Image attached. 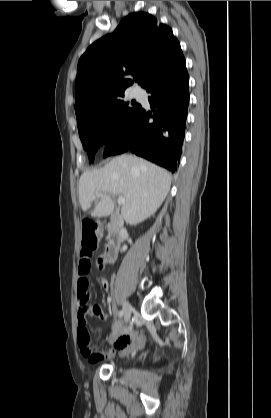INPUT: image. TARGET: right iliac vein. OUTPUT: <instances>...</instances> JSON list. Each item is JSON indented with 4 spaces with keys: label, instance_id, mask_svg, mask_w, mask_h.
<instances>
[{
    "label": "right iliac vein",
    "instance_id": "1",
    "mask_svg": "<svg viewBox=\"0 0 271 418\" xmlns=\"http://www.w3.org/2000/svg\"><path fill=\"white\" fill-rule=\"evenodd\" d=\"M132 310H133L132 306L128 302H124V305H123L124 314L123 315H124L125 323H128V321L130 320Z\"/></svg>",
    "mask_w": 271,
    "mask_h": 418
}]
</instances>
